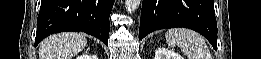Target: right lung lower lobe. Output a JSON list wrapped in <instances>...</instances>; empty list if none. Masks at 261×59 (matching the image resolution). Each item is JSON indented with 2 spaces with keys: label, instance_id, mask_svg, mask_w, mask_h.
<instances>
[{
  "label": "right lung lower lobe",
  "instance_id": "1",
  "mask_svg": "<svg viewBox=\"0 0 261 59\" xmlns=\"http://www.w3.org/2000/svg\"><path fill=\"white\" fill-rule=\"evenodd\" d=\"M115 0H42L35 46L50 34L85 32L108 45L109 16Z\"/></svg>",
  "mask_w": 261,
  "mask_h": 59
}]
</instances>
